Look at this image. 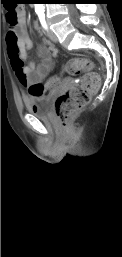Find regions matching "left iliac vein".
Masks as SVG:
<instances>
[{"mask_svg": "<svg viewBox=\"0 0 122 257\" xmlns=\"http://www.w3.org/2000/svg\"><path fill=\"white\" fill-rule=\"evenodd\" d=\"M48 37L53 42L58 41V38H57L56 34L51 29L48 30Z\"/></svg>", "mask_w": 122, "mask_h": 257, "instance_id": "obj_1", "label": "left iliac vein"}]
</instances>
